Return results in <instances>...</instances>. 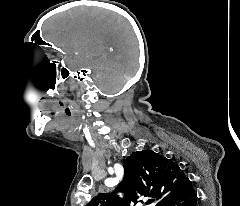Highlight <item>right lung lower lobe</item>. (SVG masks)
<instances>
[{
    "mask_svg": "<svg viewBox=\"0 0 240 206\" xmlns=\"http://www.w3.org/2000/svg\"><path fill=\"white\" fill-rule=\"evenodd\" d=\"M162 206H197V195L190 185L184 192L166 201Z\"/></svg>",
    "mask_w": 240,
    "mask_h": 206,
    "instance_id": "98d812e1",
    "label": "right lung lower lobe"
}]
</instances>
